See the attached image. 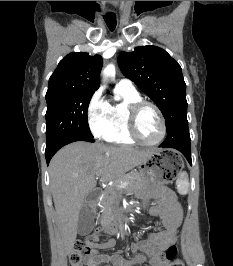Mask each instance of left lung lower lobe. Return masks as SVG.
<instances>
[{
    "mask_svg": "<svg viewBox=\"0 0 233 266\" xmlns=\"http://www.w3.org/2000/svg\"><path fill=\"white\" fill-rule=\"evenodd\" d=\"M160 147L179 150L192 165L187 117L182 118L171 130L167 131V137Z\"/></svg>",
    "mask_w": 233,
    "mask_h": 266,
    "instance_id": "obj_1",
    "label": "left lung lower lobe"
}]
</instances>
